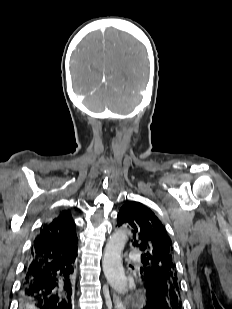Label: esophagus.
Instances as JSON below:
<instances>
[{"label":"esophagus","mask_w":232,"mask_h":309,"mask_svg":"<svg viewBox=\"0 0 232 309\" xmlns=\"http://www.w3.org/2000/svg\"><path fill=\"white\" fill-rule=\"evenodd\" d=\"M113 302L116 308L118 309H122V304H121V300L117 295L113 296Z\"/></svg>","instance_id":"34e87169"}]
</instances>
